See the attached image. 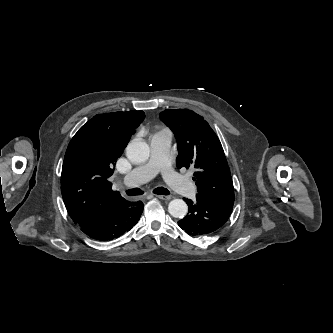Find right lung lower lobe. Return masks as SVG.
<instances>
[{
	"label": "right lung lower lobe",
	"instance_id": "right-lung-lower-lobe-1",
	"mask_svg": "<svg viewBox=\"0 0 333 333\" xmlns=\"http://www.w3.org/2000/svg\"><path fill=\"white\" fill-rule=\"evenodd\" d=\"M143 208L141 201H126L124 207L109 212L103 218L78 226L92 239L110 241L131 230L140 219Z\"/></svg>",
	"mask_w": 333,
	"mask_h": 333
}]
</instances>
